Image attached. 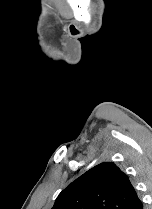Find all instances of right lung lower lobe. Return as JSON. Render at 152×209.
Wrapping results in <instances>:
<instances>
[{
    "label": "right lung lower lobe",
    "instance_id": "obj_1",
    "mask_svg": "<svg viewBox=\"0 0 152 209\" xmlns=\"http://www.w3.org/2000/svg\"><path fill=\"white\" fill-rule=\"evenodd\" d=\"M127 209H143V204L138 196H136V199H134L132 204Z\"/></svg>",
    "mask_w": 152,
    "mask_h": 209
}]
</instances>
